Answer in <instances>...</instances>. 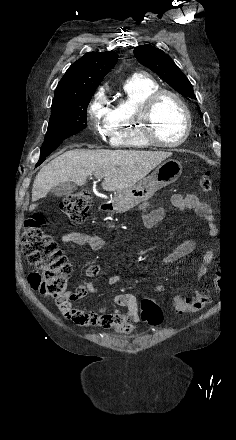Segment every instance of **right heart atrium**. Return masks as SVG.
<instances>
[{"label": "right heart atrium", "instance_id": "obj_1", "mask_svg": "<svg viewBox=\"0 0 236 440\" xmlns=\"http://www.w3.org/2000/svg\"><path fill=\"white\" fill-rule=\"evenodd\" d=\"M110 108L106 101V91L100 88L92 97L86 117L89 128L101 136L107 135Z\"/></svg>", "mask_w": 236, "mask_h": 440}]
</instances>
